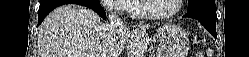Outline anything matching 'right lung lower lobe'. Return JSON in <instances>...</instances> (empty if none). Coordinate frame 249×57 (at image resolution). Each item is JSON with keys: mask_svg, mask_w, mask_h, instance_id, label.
Wrapping results in <instances>:
<instances>
[{"mask_svg": "<svg viewBox=\"0 0 249 57\" xmlns=\"http://www.w3.org/2000/svg\"><path fill=\"white\" fill-rule=\"evenodd\" d=\"M79 4L94 10L98 15L106 20V13L100 5H95L85 0H41L38 11V25L42 23L44 18L56 7L63 4Z\"/></svg>", "mask_w": 249, "mask_h": 57, "instance_id": "right-lung-lower-lobe-1", "label": "right lung lower lobe"}]
</instances>
